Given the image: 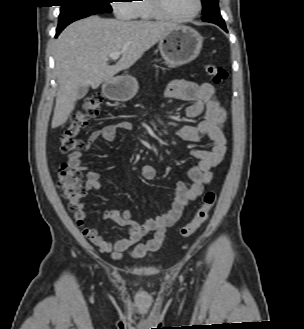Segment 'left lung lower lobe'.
<instances>
[{
    "mask_svg": "<svg viewBox=\"0 0 304 329\" xmlns=\"http://www.w3.org/2000/svg\"><path fill=\"white\" fill-rule=\"evenodd\" d=\"M203 14H204V16H203L202 20L204 22L214 23V24L220 26L225 31H227L226 26H225V22H224L223 18L220 15L218 5L212 6L210 9H208Z\"/></svg>",
    "mask_w": 304,
    "mask_h": 329,
    "instance_id": "0a47b994",
    "label": "left lung lower lobe"
}]
</instances>
